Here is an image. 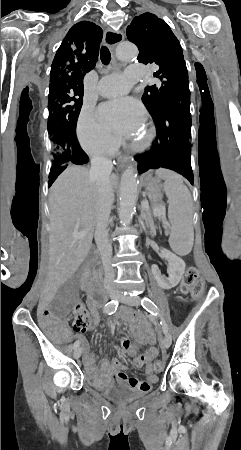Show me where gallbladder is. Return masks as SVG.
I'll return each mask as SVG.
<instances>
[{
  "label": "gallbladder",
  "mask_w": 241,
  "mask_h": 450,
  "mask_svg": "<svg viewBox=\"0 0 241 450\" xmlns=\"http://www.w3.org/2000/svg\"><path fill=\"white\" fill-rule=\"evenodd\" d=\"M78 274H71L68 281H63L56 293L55 301H51L55 320H66L67 315H72L75 305H78L79 282Z\"/></svg>",
  "instance_id": "1"
}]
</instances>
